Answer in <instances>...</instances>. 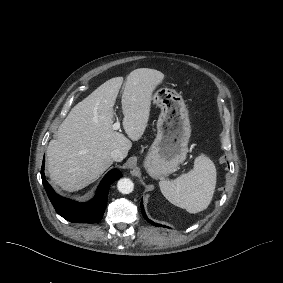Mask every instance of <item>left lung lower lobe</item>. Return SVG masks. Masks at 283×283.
<instances>
[{
    "instance_id": "left-lung-lower-lobe-1",
    "label": "left lung lower lobe",
    "mask_w": 283,
    "mask_h": 283,
    "mask_svg": "<svg viewBox=\"0 0 283 283\" xmlns=\"http://www.w3.org/2000/svg\"><path fill=\"white\" fill-rule=\"evenodd\" d=\"M141 212H142V214H143V216H144V218L150 223V224H152V225H154V226H162L161 224H158V223H155V222H153V221H151L150 219H148V217L146 216V214H145V211H144V207H143V204H142V201H141ZM163 227H166L165 225H163Z\"/></svg>"
}]
</instances>
